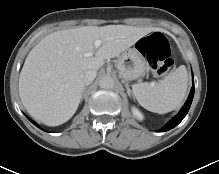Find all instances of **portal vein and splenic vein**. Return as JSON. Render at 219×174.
<instances>
[{
    "label": "portal vein and splenic vein",
    "mask_w": 219,
    "mask_h": 174,
    "mask_svg": "<svg viewBox=\"0 0 219 174\" xmlns=\"http://www.w3.org/2000/svg\"><path fill=\"white\" fill-rule=\"evenodd\" d=\"M101 43H102L101 40L95 41V43H94L95 48H96V49L99 48L100 45H101ZM93 54H94V51H90V52L86 53L85 56H86V57H92Z\"/></svg>",
    "instance_id": "obj_1"
}]
</instances>
